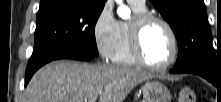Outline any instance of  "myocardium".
<instances>
[{"instance_id": "obj_1", "label": "myocardium", "mask_w": 221, "mask_h": 102, "mask_svg": "<svg viewBox=\"0 0 221 102\" xmlns=\"http://www.w3.org/2000/svg\"><path fill=\"white\" fill-rule=\"evenodd\" d=\"M153 23H159L167 29V31L170 34L173 45L172 55L170 59L166 63L161 65H156L149 62L143 50V33L145 29ZM129 36L131 52L138 64L152 70H164L169 68L176 61L179 52L178 37L172 25L163 17L147 12L137 14L134 17V19L130 22Z\"/></svg>"}]
</instances>
